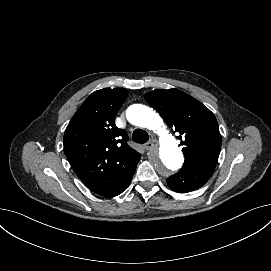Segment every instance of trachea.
Wrapping results in <instances>:
<instances>
[{"label": "trachea", "mask_w": 271, "mask_h": 271, "mask_svg": "<svg viewBox=\"0 0 271 271\" xmlns=\"http://www.w3.org/2000/svg\"><path fill=\"white\" fill-rule=\"evenodd\" d=\"M132 139L136 143H146L149 139L148 133L145 130L136 128L132 133Z\"/></svg>", "instance_id": "obj_1"}]
</instances>
